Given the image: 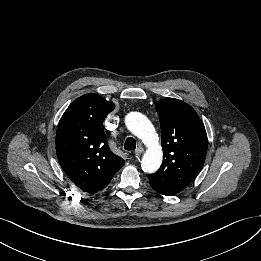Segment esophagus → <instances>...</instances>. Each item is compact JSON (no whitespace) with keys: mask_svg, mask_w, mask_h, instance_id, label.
I'll return each instance as SVG.
<instances>
[{"mask_svg":"<svg viewBox=\"0 0 261 261\" xmlns=\"http://www.w3.org/2000/svg\"><path fill=\"white\" fill-rule=\"evenodd\" d=\"M143 152H144V149L140 146V147H138V148L135 150L134 154H135L136 156H138V155L142 154Z\"/></svg>","mask_w":261,"mask_h":261,"instance_id":"1","label":"esophagus"}]
</instances>
